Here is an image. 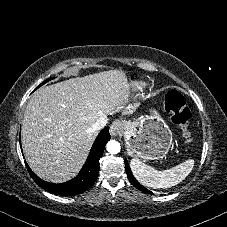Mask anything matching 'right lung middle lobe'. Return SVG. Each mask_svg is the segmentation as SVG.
<instances>
[{
    "label": "right lung middle lobe",
    "mask_w": 227,
    "mask_h": 227,
    "mask_svg": "<svg viewBox=\"0 0 227 227\" xmlns=\"http://www.w3.org/2000/svg\"><path fill=\"white\" fill-rule=\"evenodd\" d=\"M51 79H53V78H49V79H47V80H46V81H44L42 84H40L37 88H39L41 85L45 84L46 82L50 81Z\"/></svg>",
    "instance_id": "dd1d6c3e"
}]
</instances>
